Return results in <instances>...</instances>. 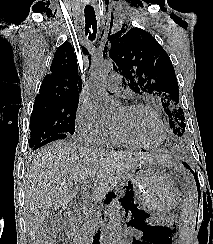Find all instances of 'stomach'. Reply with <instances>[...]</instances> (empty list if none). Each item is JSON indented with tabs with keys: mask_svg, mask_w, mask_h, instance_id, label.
I'll return each instance as SVG.
<instances>
[{
	"mask_svg": "<svg viewBox=\"0 0 213 244\" xmlns=\"http://www.w3.org/2000/svg\"><path fill=\"white\" fill-rule=\"evenodd\" d=\"M125 178L152 215H166L178 203L177 184L155 164L135 167Z\"/></svg>",
	"mask_w": 213,
	"mask_h": 244,
	"instance_id": "1",
	"label": "stomach"
}]
</instances>
